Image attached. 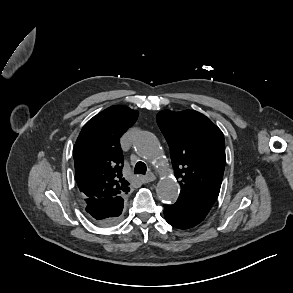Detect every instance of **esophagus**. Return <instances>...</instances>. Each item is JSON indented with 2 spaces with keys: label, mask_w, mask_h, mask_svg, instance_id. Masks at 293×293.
I'll return each instance as SVG.
<instances>
[{
  "label": "esophagus",
  "mask_w": 293,
  "mask_h": 293,
  "mask_svg": "<svg viewBox=\"0 0 293 293\" xmlns=\"http://www.w3.org/2000/svg\"><path fill=\"white\" fill-rule=\"evenodd\" d=\"M156 179L155 175L153 173H148L146 176L141 177L142 183H149Z\"/></svg>",
  "instance_id": "1"
}]
</instances>
